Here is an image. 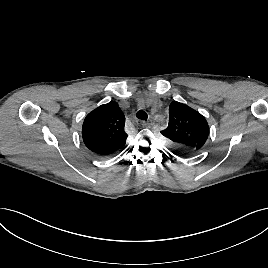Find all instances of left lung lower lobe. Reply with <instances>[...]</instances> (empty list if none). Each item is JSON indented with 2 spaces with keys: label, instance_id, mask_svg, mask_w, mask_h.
<instances>
[{
  "label": "left lung lower lobe",
  "instance_id": "obj_1",
  "mask_svg": "<svg viewBox=\"0 0 268 268\" xmlns=\"http://www.w3.org/2000/svg\"><path fill=\"white\" fill-rule=\"evenodd\" d=\"M177 150H179V152H181L183 155H192L195 154L196 152L189 150V149H185V148H177Z\"/></svg>",
  "mask_w": 268,
  "mask_h": 268
}]
</instances>
